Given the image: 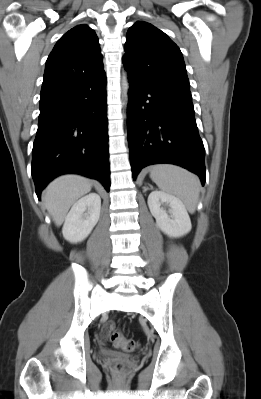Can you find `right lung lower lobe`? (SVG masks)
Returning <instances> with one entry per match:
<instances>
[{
	"label": "right lung lower lobe",
	"instance_id": "98d812e1",
	"mask_svg": "<svg viewBox=\"0 0 261 399\" xmlns=\"http://www.w3.org/2000/svg\"><path fill=\"white\" fill-rule=\"evenodd\" d=\"M106 75L40 98L31 172L41 191L56 176L78 173L110 189Z\"/></svg>",
	"mask_w": 261,
	"mask_h": 399
}]
</instances>
